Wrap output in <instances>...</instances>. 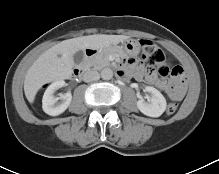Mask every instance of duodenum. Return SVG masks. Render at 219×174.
Returning a JSON list of instances; mask_svg holds the SVG:
<instances>
[{
  "mask_svg": "<svg viewBox=\"0 0 219 174\" xmlns=\"http://www.w3.org/2000/svg\"><path fill=\"white\" fill-rule=\"evenodd\" d=\"M96 54V48H87L85 50L82 64L79 67H76L72 72L74 78H80L84 74L87 64L89 63L90 59L94 57Z\"/></svg>",
  "mask_w": 219,
  "mask_h": 174,
  "instance_id": "duodenum-1",
  "label": "duodenum"
}]
</instances>
